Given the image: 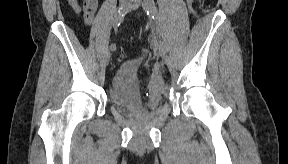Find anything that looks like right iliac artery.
<instances>
[{"mask_svg":"<svg viewBox=\"0 0 288 164\" xmlns=\"http://www.w3.org/2000/svg\"><path fill=\"white\" fill-rule=\"evenodd\" d=\"M125 13L124 11H120L118 12V14L116 15L115 19H114V23H113V29L114 31H117L119 25L122 23L123 19H124ZM110 49L111 51H115L116 50V44L112 43L110 45Z\"/></svg>","mask_w":288,"mask_h":164,"instance_id":"82829eb1","label":"right iliac artery"}]
</instances>
